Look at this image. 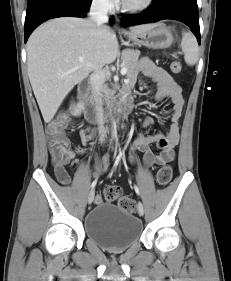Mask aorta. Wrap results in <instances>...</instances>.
<instances>
[{"label": "aorta", "mask_w": 231, "mask_h": 281, "mask_svg": "<svg viewBox=\"0 0 231 281\" xmlns=\"http://www.w3.org/2000/svg\"><path fill=\"white\" fill-rule=\"evenodd\" d=\"M114 132H115V123H114Z\"/></svg>", "instance_id": "aorta-1"}]
</instances>
